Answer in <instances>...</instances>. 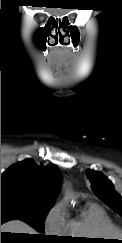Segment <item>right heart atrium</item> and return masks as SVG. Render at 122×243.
<instances>
[{
  "instance_id": "1",
  "label": "right heart atrium",
  "mask_w": 122,
  "mask_h": 243,
  "mask_svg": "<svg viewBox=\"0 0 122 243\" xmlns=\"http://www.w3.org/2000/svg\"><path fill=\"white\" fill-rule=\"evenodd\" d=\"M67 217L62 203L56 204L47 214L45 229L48 233L60 235L65 233Z\"/></svg>"
}]
</instances>
